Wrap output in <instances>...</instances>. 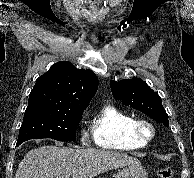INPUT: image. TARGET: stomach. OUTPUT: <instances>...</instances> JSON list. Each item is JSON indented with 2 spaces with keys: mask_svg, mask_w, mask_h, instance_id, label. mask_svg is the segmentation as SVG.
Segmentation results:
<instances>
[{
  "mask_svg": "<svg viewBox=\"0 0 194 178\" xmlns=\"http://www.w3.org/2000/svg\"><path fill=\"white\" fill-rule=\"evenodd\" d=\"M146 170L139 165H130L119 170L116 178H147Z\"/></svg>",
  "mask_w": 194,
  "mask_h": 178,
  "instance_id": "obj_1",
  "label": "stomach"
}]
</instances>
